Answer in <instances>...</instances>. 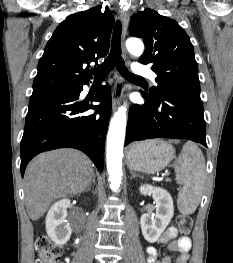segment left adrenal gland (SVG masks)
<instances>
[{"label":"left adrenal gland","mask_w":233,"mask_h":263,"mask_svg":"<svg viewBox=\"0 0 233 263\" xmlns=\"http://www.w3.org/2000/svg\"><path fill=\"white\" fill-rule=\"evenodd\" d=\"M130 173H131V179H133V178H135V177H141V178H143V176L142 175H140V174H136L135 172H133V171H130Z\"/></svg>","instance_id":"left-adrenal-gland-1"}]
</instances>
